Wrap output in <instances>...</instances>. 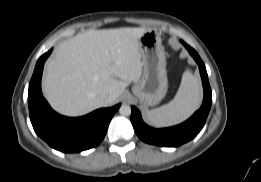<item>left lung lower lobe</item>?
Instances as JSON below:
<instances>
[{
  "label": "left lung lower lobe",
  "instance_id": "1",
  "mask_svg": "<svg viewBox=\"0 0 261 182\" xmlns=\"http://www.w3.org/2000/svg\"><path fill=\"white\" fill-rule=\"evenodd\" d=\"M197 62L202 78L204 99L201 108L184 123L163 129H155L146 125L139 110L132 106L131 123L138 137L149 144L162 147H177L193 139L203 128L211 108L212 92L208 81V75L203 61L198 53L186 43L182 42Z\"/></svg>",
  "mask_w": 261,
  "mask_h": 182
}]
</instances>
